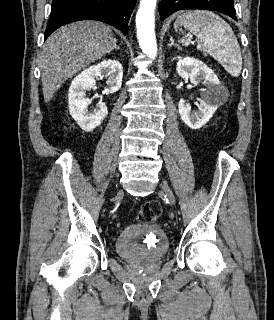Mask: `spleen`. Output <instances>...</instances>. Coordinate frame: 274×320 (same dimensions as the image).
I'll return each instance as SVG.
<instances>
[{"label": "spleen", "mask_w": 274, "mask_h": 320, "mask_svg": "<svg viewBox=\"0 0 274 320\" xmlns=\"http://www.w3.org/2000/svg\"><path fill=\"white\" fill-rule=\"evenodd\" d=\"M185 26L197 36V50L210 54L224 70L238 78L242 70V56L237 38L227 22L207 10H186L177 18L174 28ZM182 46H189V40H180Z\"/></svg>", "instance_id": "3e777b00"}]
</instances>
